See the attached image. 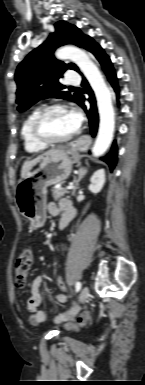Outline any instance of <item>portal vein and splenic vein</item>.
Segmentation results:
<instances>
[{
	"label": "portal vein and splenic vein",
	"mask_w": 145,
	"mask_h": 385,
	"mask_svg": "<svg viewBox=\"0 0 145 385\" xmlns=\"http://www.w3.org/2000/svg\"><path fill=\"white\" fill-rule=\"evenodd\" d=\"M74 188V186L72 184H70L69 186H67V189L68 190H72Z\"/></svg>",
	"instance_id": "portal-vein-and-splenic-vein-1"
}]
</instances>
